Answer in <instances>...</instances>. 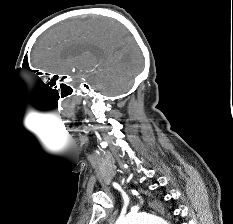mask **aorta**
Listing matches in <instances>:
<instances>
[{
    "label": "aorta",
    "instance_id": "762f6f07",
    "mask_svg": "<svg viewBox=\"0 0 233 224\" xmlns=\"http://www.w3.org/2000/svg\"><path fill=\"white\" fill-rule=\"evenodd\" d=\"M115 224H169L161 217L147 214L135 213L120 217Z\"/></svg>",
    "mask_w": 233,
    "mask_h": 224
}]
</instances>
